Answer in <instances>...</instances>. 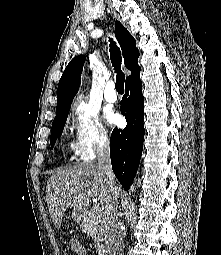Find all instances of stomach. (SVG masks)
I'll return each instance as SVG.
<instances>
[{
	"label": "stomach",
	"instance_id": "1",
	"mask_svg": "<svg viewBox=\"0 0 221 255\" xmlns=\"http://www.w3.org/2000/svg\"><path fill=\"white\" fill-rule=\"evenodd\" d=\"M86 211L83 209L74 208L72 216L75 220L80 221L85 216Z\"/></svg>",
	"mask_w": 221,
	"mask_h": 255
}]
</instances>
